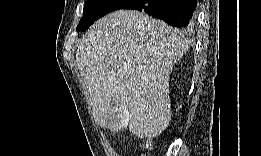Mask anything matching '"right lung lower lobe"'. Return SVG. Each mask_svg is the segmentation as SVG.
I'll use <instances>...</instances> for the list:
<instances>
[{
	"instance_id": "right-lung-lower-lobe-1",
	"label": "right lung lower lobe",
	"mask_w": 261,
	"mask_h": 156,
	"mask_svg": "<svg viewBox=\"0 0 261 156\" xmlns=\"http://www.w3.org/2000/svg\"><path fill=\"white\" fill-rule=\"evenodd\" d=\"M197 0H129L120 9L143 11L177 28H190Z\"/></svg>"
}]
</instances>
